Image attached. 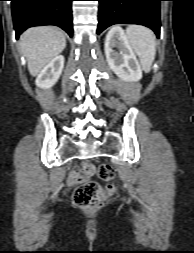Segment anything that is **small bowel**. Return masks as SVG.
<instances>
[{"label":"small bowel","mask_w":194,"mask_h":253,"mask_svg":"<svg viewBox=\"0 0 194 253\" xmlns=\"http://www.w3.org/2000/svg\"><path fill=\"white\" fill-rule=\"evenodd\" d=\"M81 181L80 173L78 170H72L68 176V185L74 186Z\"/></svg>","instance_id":"1"}]
</instances>
